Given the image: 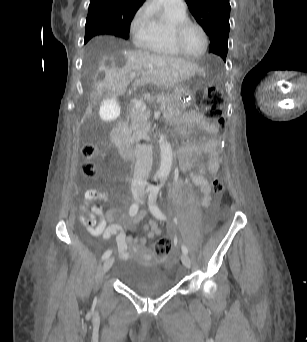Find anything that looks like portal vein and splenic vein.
<instances>
[{"instance_id":"1","label":"portal vein and splenic vein","mask_w":307,"mask_h":342,"mask_svg":"<svg viewBox=\"0 0 307 342\" xmlns=\"http://www.w3.org/2000/svg\"><path fill=\"white\" fill-rule=\"evenodd\" d=\"M136 76H140V74H130L129 80H134V78H136ZM130 103L132 105H135L136 109H141L143 112H146L148 110V107L146 106V103L145 102H140L138 98H132L130 100ZM160 111L164 112L165 108L161 107Z\"/></svg>"}]
</instances>
